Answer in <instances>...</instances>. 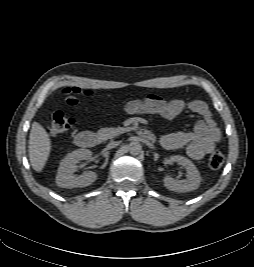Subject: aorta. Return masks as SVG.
I'll return each instance as SVG.
<instances>
[{"label":"aorta","mask_w":254,"mask_h":267,"mask_svg":"<svg viewBox=\"0 0 254 267\" xmlns=\"http://www.w3.org/2000/svg\"><path fill=\"white\" fill-rule=\"evenodd\" d=\"M128 150H129L130 154H132V155H139L142 151V146H141L140 142L132 141L128 145Z\"/></svg>","instance_id":"762f6f07"}]
</instances>
